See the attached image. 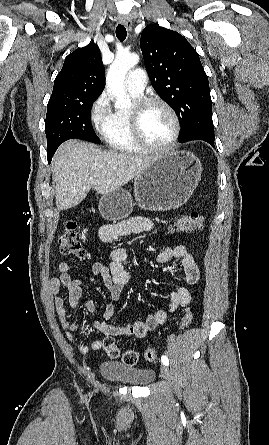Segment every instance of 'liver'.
Here are the masks:
<instances>
[{
	"label": "liver",
	"instance_id": "liver-1",
	"mask_svg": "<svg viewBox=\"0 0 269 445\" xmlns=\"http://www.w3.org/2000/svg\"><path fill=\"white\" fill-rule=\"evenodd\" d=\"M156 156L101 151L94 144L72 140L59 147L53 158L56 205L59 210L81 203L91 188L105 195L126 185Z\"/></svg>",
	"mask_w": 269,
	"mask_h": 445
}]
</instances>
